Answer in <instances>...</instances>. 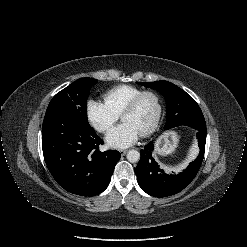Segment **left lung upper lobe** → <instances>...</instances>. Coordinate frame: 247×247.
Masks as SVG:
<instances>
[{
	"mask_svg": "<svg viewBox=\"0 0 247 247\" xmlns=\"http://www.w3.org/2000/svg\"><path fill=\"white\" fill-rule=\"evenodd\" d=\"M163 94L166 100L167 121L165 129L186 126L194 129L206 125L203 113L197 102L184 90L168 81L137 82Z\"/></svg>",
	"mask_w": 247,
	"mask_h": 247,
	"instance_id": "5c2ea615",
	"label": "left lung upper lobe"
}]
</instances>
